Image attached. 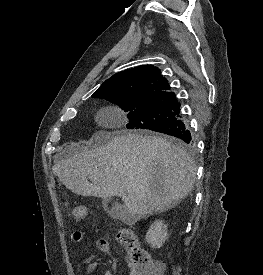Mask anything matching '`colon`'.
Returning a JSON list of instances; mask_svg holds the SVG:
<instances>
[{
	"instance_id": "5ec220e1",
	"label": "colon",
	"mask_w": 263,
	"mask_h": 275,
	"mask_svg": "<svg viewBox=\"0 0 263 275\" xmlns=\"http://www.w3.org/2000/svg\"><path fill=\"white\" fill-rule=\"evenodd\" d=\"M86 209L83 206H76L72 209V217L76 221L84 219ZM118 241L126 248L129 253L130 263L135 266L142 275H158L160 264L152 261L147 252L142 249L136 239L135 234L129 228H121L117 232Z\"/></svg>"
}]
</instances>
